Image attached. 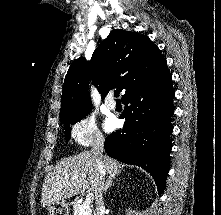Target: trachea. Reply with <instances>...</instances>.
<instances>
[{"label": "trachea", "instance_id": "trachea-1", "mask_svg": "<svg viewBox=\"0 0 221 215\" xmlns=\"http://www.w3.org/2000/svg\"><path fill=\"white\" fill-rule=\"evenodd\" d=\"M114 96H115L116 98L119 97V90H115V91H114Z\"/></svg>", "mask_w": 221, "mask_h": 215}]
</instances>
